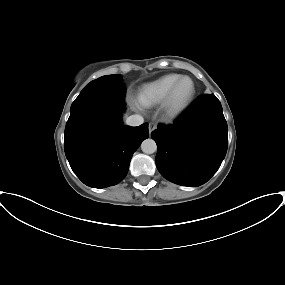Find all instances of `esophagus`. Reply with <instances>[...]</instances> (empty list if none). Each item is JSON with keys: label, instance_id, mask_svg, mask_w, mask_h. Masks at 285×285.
<instances>
[{"label": "esophagus", "instance_id": "1", "mask_svg": "<svg viewBox=\"0 0 285 285\" xmlns=\"http://www.w3.org/2000/svg\"><path fill=\"white\" fill-rule=\"evenodd\" d=\"M157 128V125L153 122L149 123V133L151 134L155 129Z\"/></svg>", "mask_w": 285, "mask_h": 285}]
</instances>
